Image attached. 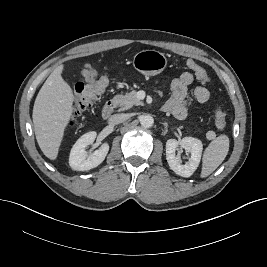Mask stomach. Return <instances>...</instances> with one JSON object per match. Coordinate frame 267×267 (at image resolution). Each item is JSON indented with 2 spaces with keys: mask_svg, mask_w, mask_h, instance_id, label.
<instances>
[{
  "mask_svg": "<svg viewBox=\"0 0 267 267\" xmlns=\"http://www.w3.org/2000/svg\"><path fill=\"white\" fill-rule=\"evenodd\" d=\"M134 68L145 76H155L167 66L166 56L157 50H142L133 57Z\"/></svg>",
  "mask_w": 267,
  "mask_h": 267,
  "instance_id": "1",
  "label": "stomach"
}]
</instances>
